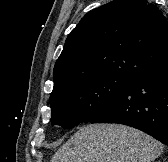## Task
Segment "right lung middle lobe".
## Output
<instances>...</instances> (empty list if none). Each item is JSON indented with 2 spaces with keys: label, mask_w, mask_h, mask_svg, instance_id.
I'll return each instance as SVG.
<instances>
[{
  "label": "right lung middle lobe",
  "mask_w": 168,
  "mask_h": 162,
  "mask_svg": "<svg viewBox=\"0 0 168 162\" xmlns=\"http://www.w3.org/2000/svg\"><path fill=\"white\" fill-rule=\"evenodd\" d=\"M132 78L109 74L71 84L50 95L51 124L72 128L90 122Z\"/></svg>",
  "instance_id": "obj_1"
}]
</instances>
